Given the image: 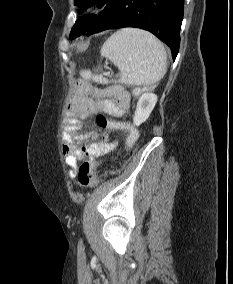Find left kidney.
Here are the masks:
<instances>
[{"label":"left kidney","instance_id":"obj_1","mask_svg":"<svg viewBox=\"0 0 233 284\" xmlns=\"http://www.w3.org/2000/svg\"><path fill=\"white\" fill-rule=\"evenodd\" d=\"M157 103V96L150 92L143 93L137 103L136 111L133 117V123L136 126L141 125L150 116Z\"/></svg>","mask_w":233,"mask_h":284}]
</instances>
